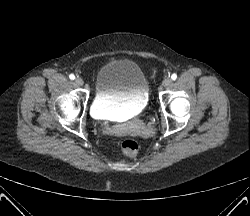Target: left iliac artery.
<instances>
[{
    "label": "left iliac artery",
    "mask_w": 250,
    "mask_h": 216,
    "mask_svg": "<svg viewBox=\"0 0 250 216\" xmlns=\"http://www.w3.org/2000/svg\"><path fill=\"white\" fill-rule=\"evenodd\" d=\"M171 79L172 80H176L177 79V75L176 74H172Z\"/></svg>",
    "instance_id": "1"
}]
</instances>
